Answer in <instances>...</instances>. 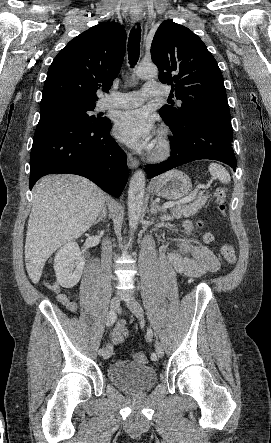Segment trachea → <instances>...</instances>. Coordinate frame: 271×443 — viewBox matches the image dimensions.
<instances>
[{"instance_id":"3493384b","label":"trachea","mask_w":271,"mask_h":443,"mask_svg":"<svg viewBox=\"0 0 271 443\" xmlns=\"http://www.w3.org/2000/svg\"><path fill=\"white\" fill-rule=\"evenodd\" d=\"M140 39H141V27L137 25V28H132L128 39V58L131 67L136 65L140 54ZM168 101H172L168 99Z\"/></svg>"}]
</instances>
